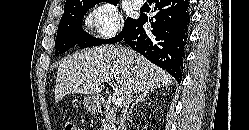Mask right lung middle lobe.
I'll return each mask as SVG.
<instances>
[{
  "label": "right lung middle lobe",
  "instance_id": "1",
  "mask_svg": "<svg viewBox=\"0 0 249 130\" xmlns=\"http://www.w3.org/2000/svg\"><path fill=\"white\" fill-rule=\"evenodd\" d=\"M119 2V1H118ZM118 2H109L117 5ZM95 4L83 8H65L64 14L60 20L57 37L55 41L56 55L68 51L73 46L77 47H92L106 43H114L120 41L128 32L130 27L135 22L132 18H127L122 32L111 39H99L86 33L81 28L82 19L85 13Z\"/></svg>",
  "mask_w": 249,
  "mask_h": 130
}]
</instances>
